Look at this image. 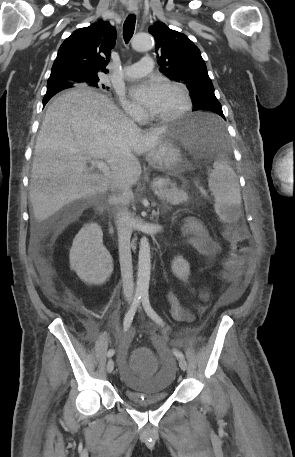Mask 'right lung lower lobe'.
<instances>
[{"label":"right lung lower lobe","instance_id":"right-lung-lower-lobe-1","mask_svg":"<svg viewBox=\"0 0 295 457\" xmlns=\"http://www.w3.org/2000/svg\"><path fill=\"white\" fill-rule=\"evenodd\" d=\"M71 86H66L64 84H52V85H47V93L46 95L44 96V99H43V105H45L48 101L47 99L51 98L53 96L52 94V91H61L63 89H66V88H70Z\"/></svg>","mask_w":295,"mask_h":457}]
</instances>
